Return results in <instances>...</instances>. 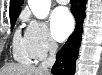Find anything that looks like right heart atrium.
I'll return each mask as SVG.
<instances>
[{
    "mask_svg": "<svg viewBox=\"0 0 102 75\" xmlns=\"http://www.w3.org/2000/svg\"><path fill=\"white\" fill-rule=\"evenodd\" d=\"M28 48L36 60L45 59L56 49L47 25L43 21L29 19L25 30Z\"/></svg>",
    "mask_w": 102,
    "mask_h": 75,
    "instance_id": "d8ad5b80",
    "label": "right heart atrium"
}]
</instances>
